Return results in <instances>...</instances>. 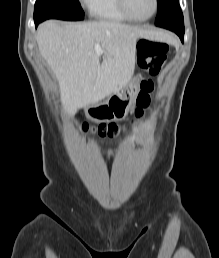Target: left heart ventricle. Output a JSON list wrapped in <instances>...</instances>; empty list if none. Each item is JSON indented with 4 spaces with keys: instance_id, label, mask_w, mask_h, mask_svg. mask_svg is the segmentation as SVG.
<instances>
[{
    "instance_id": "obj_1",
    "label": "left heart ventricle",
    "mask_w": 219,
    "mask_h": 258,
    "mask_svg": "<svg viewBox=\"0 0 219 258\" xmlns=\"http://www.w3.org/2000/svg\"><path fill=\"white\" fill-rule=\"evenodd\" d=\"M131 14L138 18L149 16L154 9V0H127Z\"/></svg>"
}]
</instances>
